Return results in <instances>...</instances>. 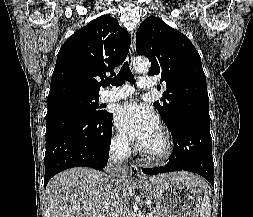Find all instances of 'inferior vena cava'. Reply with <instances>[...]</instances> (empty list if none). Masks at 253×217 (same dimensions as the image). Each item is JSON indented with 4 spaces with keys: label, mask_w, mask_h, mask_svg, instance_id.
I'll return each instance as SVG.
<instances>
[{
    "label": "inferior vena cava",
    "mask_w": 253,
    "mask_h": 217,
    "mask_svg": "<svg viewBox=\"0 0 253 217\" xmlns=\"http://www.w3.org/2000/svg\"><path fill=\"white\" fill-rule=\"evenodd\" d=\"M128 152V140L121 139L113 144L110 149L109 160L106 168L107 176L110 178L111 188L110 193L113 196L114 207H119L120 199L122 198V184L126 179L127 167L125 161ZM113 217H119L115 213Z\"/></svg>",
    "instance_id": "inferior-vena-cava-1"
}]
</instances>
